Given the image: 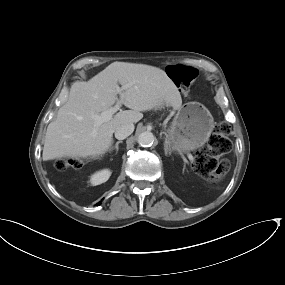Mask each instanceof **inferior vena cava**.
Instances as JSON below:
<instances>
[{
  "instance_id": "1",
  "label": "inferior vena cava",
  "mask_w": 285,
  "mask_h": 285,
  "mask_svg": "<svg viewBox=\"0 0 285 285\" xmlns=\"http://www.w3.org/2000/svg\"><path fill=\"white\" fill-rule=\"evenodd\" d=\"M134 131V125L132 123H124L118 126L115 130V138L123 140L131 135Z\"/></svg>"
}]
</instances>
